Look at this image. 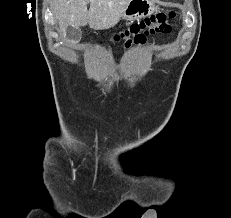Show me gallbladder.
Segmentation results:
<instances>
[{"label": "gallbladder", "mask_w": 231, "mask_h": 218, "mask_svg": "<svg viewBox=\"0 0 231 218\" xmlns=\"http://www.w3.org/2000/svg\"><path fill=\"white\" fill-rule=\"evenodd\" d=\"M81 30L72 26H68L66 30L67 39L71 42H77L81 39Z\"/></svg>", "instance_id": "bac80fb5"}]
</instances>
